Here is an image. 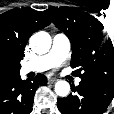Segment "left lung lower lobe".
<instances>
[{"mask_svg": "<svg viewBox=\"0 0 114 114\" xmlns=\"http://www.w3.org/2000/svg\"><path fill=\"white\" fill-rule=\"evenodd\" d=\"M71 90L74 95L57 100L62 114H103L114 97V85L91 79H81Z\"/></svg>", "mask_w": 114, "mask_h": 114, "instance_id": "0a47b994", "label": "left lung lower lobe"}]
</instances>
